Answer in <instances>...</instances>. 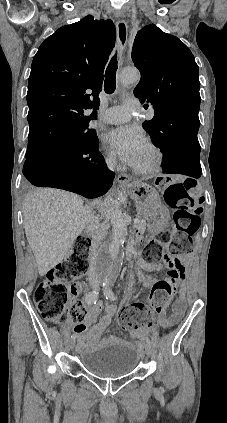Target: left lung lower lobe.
Wrapping results in <instances>:
<instances>
[{
	"instance_id": "1",
	"label": "left lung lower lobe",
	"mask_w": 227,
	"mask_h": 423,
	"mask_svg": "<svg viewBox=\"0 0 227 423\" xmlns=\"http://www.w3.org/2000/svg\"><path fill=\"white\" fill-rule=\"evenodd\" d=\"M199 125L189 122L153 140L164 154V173H179L194 178L201 176L200 144L197 138Z\"/></svg>"
}]
</instances>
